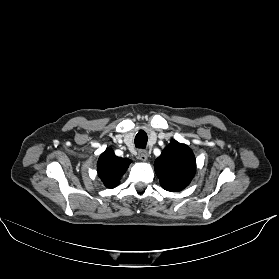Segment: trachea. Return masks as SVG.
<instances>
[{
  "instance_id": "obj_1",
  "label": "trachea",
  "mask_w": 279,
  "mask_h": 279,
  "mask_svg": "<svg viewBox=\"0 0 279 279\" xmlns=\"http://www.w3.org/2000/svg\"><path fill=\"white\" fill-rule=\"evenodd\" d=\"M134 142L136 148L144 149L147 144V134L143 130L139 131L135 136Z\"/></svg>"
}]
</instances>
